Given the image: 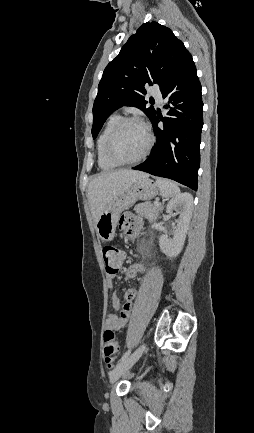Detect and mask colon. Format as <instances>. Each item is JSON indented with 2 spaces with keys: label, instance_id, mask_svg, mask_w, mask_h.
I'll return each instance as SVG.
<instances>
[{
  "label": "colon",
  "instance_id": "1",
  "mask_svg": "<svg viewBox=\"0 0 254 433\" xmlns=\"http://www.w3.org/2000/svg\"><path fill=\"white\" fill-rule=\"evenodd\" d=\"M102 257L105 263L107 273H117L122 261V251L115 246L107 245L104 246L102 249ZM118 350L119 341L116 333L112 329L105 330L103 353L105 361L109 368L113 365Z\"/></svg>",
  "mask_w": 254,
  "mask_h": 433
}]
</instances>
